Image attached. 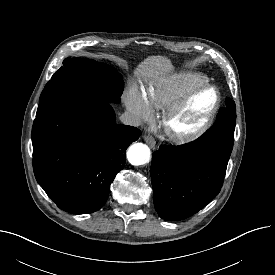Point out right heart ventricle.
<instances>
[{
    "label": "right heart ventricle",
    "mask_w": 275,
    "mask_h": 275,
    "mask_svg": "<svg viewBox=\"0 0 275 275\" xmlns=\"http://www.w3.org/2000/svg\"><path fill=\"white\" fill-rule=\"evenodd\" d=\"M207 82V78L200 74H175L149 85L145 100L151 111H164L186 93Z\"/></svg>",
    "instance_id": "obj_1"
}]
</instances>
